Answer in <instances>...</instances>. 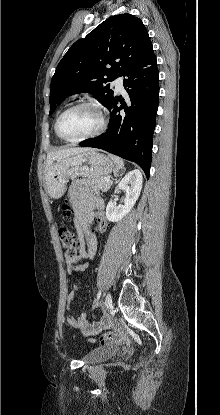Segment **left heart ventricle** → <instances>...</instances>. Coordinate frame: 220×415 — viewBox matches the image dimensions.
Returning <instances> with one entry per match:
<instances>
[{"label": "left heart ventricle", "mask_w": 220, "mask_h": 415, "mask_svg": "<svg viewBox=\"0 0 220 415\" xmlns=\"http://www.w3.org/2000/svg\"><path fill=\"white\" fill-rule=\"evenodd\" d=\"M99 115L93 108L81 107L63 116L59 123L61 135L67 139H77L97 130Z\"/></svg>", "instance_id": "1"}]
</instances>
